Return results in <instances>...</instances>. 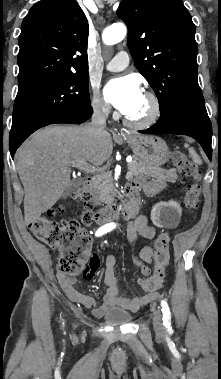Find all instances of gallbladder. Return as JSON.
I'll return each mask as SVG.
<instances>
[{
    "instance_id": "1",
    "label": "gallbladder",
    "mask_w": 221,
    "mask_h": 379,
    "mask_svg": "<svg viewBox=\"0 0 221 379\" xmlns=\"http://www.w3.org/2000/svg\"><path fill=\"white\" fill-rule=\"evenodd\" d=\"M72 184H73V183H71V184L67 187V189L65 190V192H64V194H63V198H66V197L71 193V191H72Z\"/></svg>"
}]
</instances>
